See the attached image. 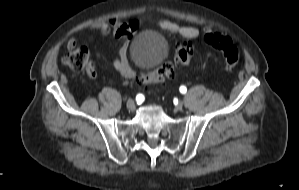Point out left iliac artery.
Wrapping results in <instances>:
<instances>
[{
    "label": "left iliac artery",
    "instance_id": "left-iliac-artery-1",
    "mask_svg": "<svg viewBox=\"0 0 299 190\" xmlns=\"http://www.w3.org/2000/svg\"><path fill=\"white\" fill-rule=\"evenodd\" d=\"M179 90H180V92H181L182 94H185V93L187 92V88H186L185 86H181V87L179 88Z\"/></svg>",
    "mask_w": 299,
    "mask_h": 190
}]
</instances>
